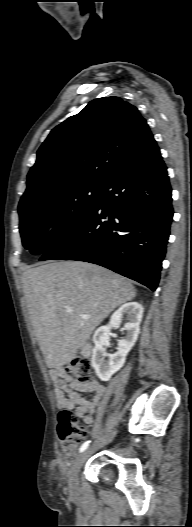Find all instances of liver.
I'll use <instances>...</instances> for the list:
<instances>
[{
  "mask_svg": "<svg viewBox=\"0 0 192 527\" xmlns=\"http://www.w3.org/2000/svg\"><path fill=\"white\" fill-rule=\"evenodd\" d=\"M23 293L40 349L49 368L70 363L94 329L131 301L130 281L98 265L51 262L22 275ZM73 310L67 313L66 308ZM89 315L88 319L81 315Z\"/></svg>",
  "mask_w": 192,
  "mask_h": 527,
  "instance_id": "obj_1",
  "label": "liver"
}]
</instances>
